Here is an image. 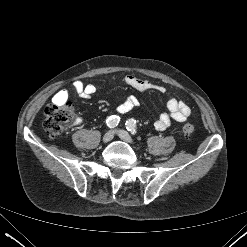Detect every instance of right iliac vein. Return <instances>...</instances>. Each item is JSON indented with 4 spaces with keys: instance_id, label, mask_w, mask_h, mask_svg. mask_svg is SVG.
<instances>
[{
    "instance_id": "obj_1",
    "label": "right iliac vein",
    "mask_w": 247,
    "mask_h": 247,
    "mask_svg": "<svg viewBox=\"0 0 247 247\" xmlns=\"http://www.w3.org/2000/svg\"><path fill=\"white\" fill-rule=\"evenodd\" d=\"M113 137H114V132L113 131H108L103 136V142H105V143L110 142L113 139Z\"/></svg>"
}]
</instances>
